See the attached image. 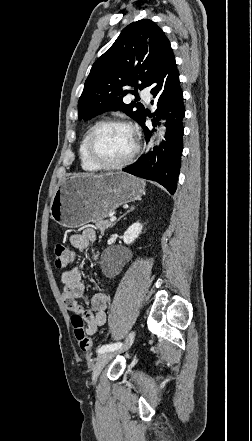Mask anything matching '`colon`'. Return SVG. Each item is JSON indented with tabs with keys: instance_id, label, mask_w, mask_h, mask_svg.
I'll use <instances>...</instances> for the list:
<instances>
[{
	"instance_id": "colon-1",
	"label": "colon",
	"mask_w": 252,
	"mask_h": 441,
	"mask_svg": "<svg viewBox=\"0 0 252 441\" xmlns=\"http://www.w3.org/2000/svg\"><path fill=\"white\" fill-rule=\"evenodd\" d=\"M73 258L72 252L63 244H58L55 247V266L57 268L66 267ZM72 325L74 328L75 337L79 348L82 351H88L92 346V340L87 335L85 330V323L82 317L78 314H74L71 317Z\"/></svg>"
}]
</instances>
